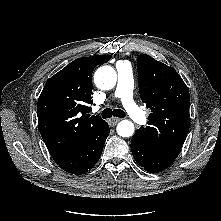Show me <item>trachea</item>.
<instances>
[{
  "label": "trachea",
  "mask_w": 221,
  "mask_h": 221,
  "mask_svg": "<svg viewBox=\"0 0 221 221\" xmlns=\"http://www.w3.org/2000/svg\"><path fill=\"white\" fill-rule=\"evenodd\" d=\"M113 115H114L115 117L124 118L126 114H125V112H124L123 110H121V109H114V110H112V109H110V108H107V109H104V110L102 111V117H103L104 119L110 118V117H112Z\"/></svg>",
  "instance_id": "trachea-1"
}]
</instances>
